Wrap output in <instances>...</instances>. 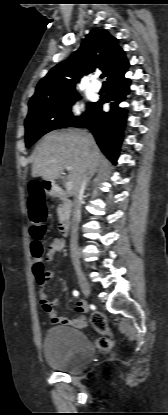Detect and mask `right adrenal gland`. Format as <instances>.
Listing matches in <instances>:
<instances>
[{"mask_svg":"<svg viewBox=\"0 0 168 415\" xmlns=\"http://www.w3.org/2000/svg\"><path fill=\"white\" fill-rule=\"evenodd\" d=\"M92 177H93V174H91L88 178V181H87V184H86V190H88L87 187H88V184H89L90 180L92 179Z\"/></svg>","mask_w":168,"mask_h":415,"instance_id":"obj_1","label":"right adrenal gland"}]
</instances>
